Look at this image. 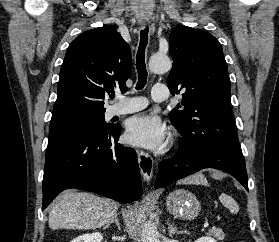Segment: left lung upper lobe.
Returning a JSON list of instances; mask_svg holds the SVG:
<instances>
[{
	"label": "left lung upper lobe",
	"mask_w": 279,
	"mask_h": 242,
	"mask_svg": "<svg viewBox=\"0 0 279 242\" xmlns=\"http://www.w3.org/2000/svg\"><path fill=\"white\" fill-rule=\"evenodd\" d=\"M169 45L173 66L167 84L173 94L181 92L183 96L170 114L183 137L179 150L214 148L242 154L221 44L203 30L180 26L172 29Z\"/></svg>",
	"instance_id": "obj_1"
}]
</instances>
